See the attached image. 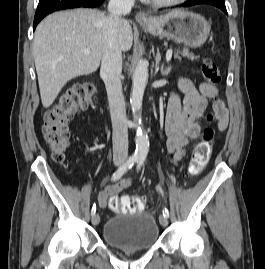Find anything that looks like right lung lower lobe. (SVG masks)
I'll return each mask as SVG.
<instances>
[{
	"mask_svg": "<svg viewBox=\"0 0 265 269\" xmlns=\"http://www.w3.org/2000/svg\"><path fill=\"white\" fill-rule=\"evenodd\" d=\"M104 0H40L35 18L34 29L37 24L48 14L63 9L76 8V7H97Z\"/></svg>",
	"mask_w": 265,
	"mask_h": 269,
	"instance_id": "right-lung-lower-lobe-1",
	"label": "right lung lower lobe"
}]
</instances>
